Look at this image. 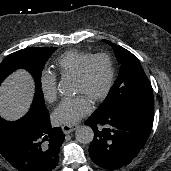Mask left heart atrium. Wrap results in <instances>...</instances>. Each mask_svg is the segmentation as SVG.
I'll return each instance as SVG.
<instances>
[{"mask_svg": "<svg viewBox=\"0 0 171 171\" xmlns=\"http://www.w3.org/2000/svg\"><path fill=\"white\" fill-rule=\"evenodd\" d=\"M91 104L84 95L63 99L52 114L57 124L72 125L89 114Z\"/></svg>", "mask_w": 171, "mask_h": 171, "instance_id": "39dd6f15", "label": "left heart atrium"}]
</instances>
